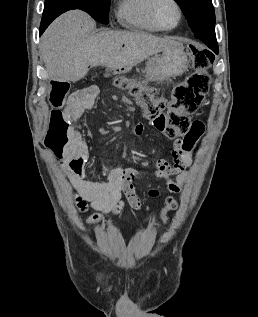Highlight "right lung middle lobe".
Wrapping results in <instances>:
<instances>
[{
    "label": "right lung middle lobe",
    "instance_id": "right-lung-middle-lobe-1",
    "mask_svg": "<svg viewBox=\"0 0 258 317\" xmlns=\"http://www.w3.org/2000/svg\"><path fill=\"white\" fill-rule=\"evenodd\" d=\"M89 6L94 10V19L108 24L110 0H88Z\"/></svg>",
    "mask_w": 258,
    "mask_h": 317
}]
</instances>
